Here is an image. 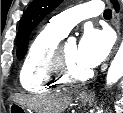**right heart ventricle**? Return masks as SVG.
<instances>
[{
    "instance_id": "obj_1",
    "label": "right heart ventricle",
    "mask_w": 123,
    "mask_h": 113,
    "mask_svg": "<svg viewBox=\"0 0 123 113\" xmlns=\"http://www.w3.org/2000/svg\"><path fill=\"white\" fill-rule=\"evenodd\" d=\"M64 36L46 26L34 37L20 70V82L25 90L44 94L64 84L51 70L55 50Z\"/></svg>"
}]
</instances>
